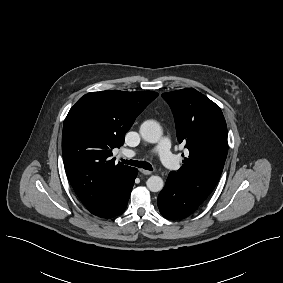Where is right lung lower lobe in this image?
<instances>
[{"label": "right lung lower lobe", "mask_w": 283, "mask_h": 283, "mask_svg": "<svg viewBox=\"0 0 283 283\" xmlns=\"http://www.w3.org/2000/svg\"><path fill=\"white\" fill-rule=\"evenodd\" d=\"M137 173L138 170L133 168L124 182L116 184L115 192L108 203L93 214L102 218H108L123 213L126 209Z\"/></svg>", "instance_id": "right-lung-lower-lobe-1"}]
</instances>
